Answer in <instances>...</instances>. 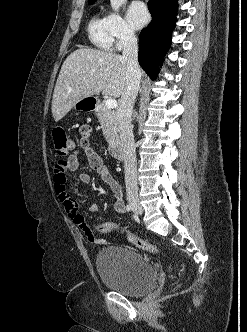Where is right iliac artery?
Returning a JSON list of instances; mask_svg holds the SVG:
<instances>
[{"mask_svg": "<svg viewBox=\"0 0 247 332\" xmlns=\"http://www.w3.org/2000/svg\"><path fill=\"white\" fill-rule=\"evenodd\" d=\"M126 210H127L128 212L132 211V206H131L130 204L127 205V206H126Z\"/></svg>", "mask_w": 247, "mask_h": 332, "instance_id": "obj_1", "label": "right iliac artery"}]
</instances>
